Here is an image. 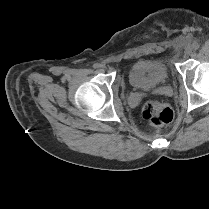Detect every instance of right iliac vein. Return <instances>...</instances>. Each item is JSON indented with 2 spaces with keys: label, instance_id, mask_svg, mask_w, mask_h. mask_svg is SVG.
Listing matches in <instances>:
<instances>
[{
  "label": "right iliac vein",
  "instance_id": "obj_1",
  "mask_svg": "<svg viewBox=\"0 0 209 209\" xmlns=\"http://www.w3.org/2000/svg\"><path fill=\"white\" fill-rule=\"evenodd\" d=\"M101 68H103V69H104V68H105V66H101Z\"/></svg>",
  "mask_w": 209,
  "mask_h": 209
}]
</instances>
